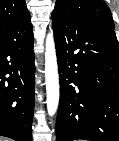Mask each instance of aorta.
<instances>
[{
  "label": "aorta",
  "instance_id": "aorta-1",
  "mask_svg": "<svg viewBox=\"0 0 119 141\" xmlns=\"http://www.w3.org/2000/svg\"><path fill=\"white\" fill-rule=\"evenodd\" d=\"M45 84L47 111L50 116H53L59 104V76L52 32L47 35L45 44Z\"/></svg>",
  "mask_w": 119,
  "mask_h": 141
}]
</instances>
